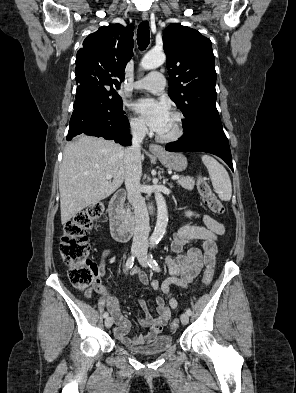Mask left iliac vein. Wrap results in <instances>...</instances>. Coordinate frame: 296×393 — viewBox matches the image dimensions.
Instances as JSON below:
<instances>
[{
  "label": "left iliac vein",
  "instance_id": "1",
  "mask_svg": "<svg viewBox=\"0 0 296 393\" xmlns=\"http://www.w3.org/2000/svg\"><path fill=\"white\" fill-rule=\"evenodd\" d=\"M138 261L139 263L143 266V267H147V263H148V259L146 256V249L142 248L140 249L138 255H137ZM189 322V315L187 313H183L181 315V323L183 325H186Z\"/></svg>",
  "mask_w": 296,
  "mask_h": 393
}]
</instances>
